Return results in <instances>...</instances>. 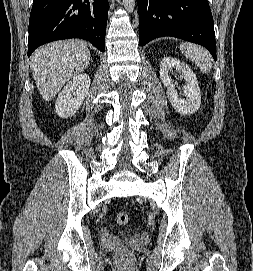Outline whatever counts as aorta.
<instances>
[{"label":"aorta","instance_id":"obj_1","mask_svg":"<svg viewBox=\"0 0 253 271\" xmlns=\"http://www.w3.org/2000/svg\"><path fill=\"white\" fill-rule=\"evenodd\" d=\"M123 6L128 13H132L135 7V0H122Z\"/></svg>","mask_w":253,"mask_h":271}]
</instances>
